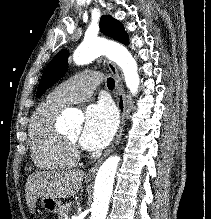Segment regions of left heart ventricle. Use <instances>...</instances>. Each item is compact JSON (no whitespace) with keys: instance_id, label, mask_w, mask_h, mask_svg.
<instances>
[{"instance_id":"obj_1","label":"left heart ventricle","mask_w":211,"mask_h":219,"mask_svg":"<svg viewBox=\"0 0 211 219\" xmlns=\"http://www.w3.org/2000/svg\"><path fill=\"white\" fill-rule=\"evenodd\" d=\"M67 136L72 138L75 141H78L81 136V128L77 127L67 132Z\"/></svg>"}]
</instances>
